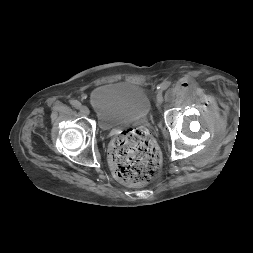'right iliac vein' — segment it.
I'll list each match as a JSON object with an SVG mask.
<instances>
[{
	"instance_id": "63e3f726",
	"label": "right iliac vein",
	"mask_w": 253,
	"mask_h": 253,
	"mask_svg": "<svg viewBox=\"0 0 253 253\" xmlns=\"http://www.w3.org/2000/svg\"><path fill=\"white\" fill-rule=\"evenodd\" d=\"M90 113L89 109L86 106L80 107V114L83 116H88Z\"/></svg>"
}]
</instances>
